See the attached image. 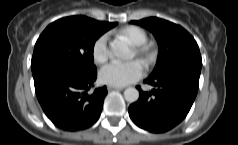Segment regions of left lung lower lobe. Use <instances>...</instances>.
I'll list each match as a JSON object with an SVG mask.
<instances>
[{"label": "left lung lower lobe", "instance_id": "left-lung-lower-lobe-1", "mask_svg": "<svg viewBox=\"0 0 238 145\" xmlns=\"http://www.w3.org/2000/svg\"><path fill=\"white\" fill-rule=\"evenodd\" d=\"M200 71V68H186L156 77L149 76L144 82L155 88L151 92L140 90L138 101L128 109L132 121L154 133L166 132L178 125L195 100Z\"/></svg>", "mask_w": 238, "mask_h": 145}]
</instances>
